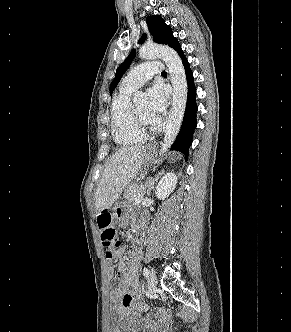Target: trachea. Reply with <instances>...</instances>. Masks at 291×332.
<instances>
[{
  "instance_id": "3493384b",
  "label": "trachea",
  "mask_w": 291,
  "mask_h": 332,
  "mask_svg": "<svg viewBox=\"0 0 291 332\" xmlns=\"http://www.w3.org/2000/svg\"><path fill=\"white\" fill-rule=\"evenodd\" d=\"M161 74H162V75H166V72H165V71H163Z\"/></svg>"
}]
</instances>
